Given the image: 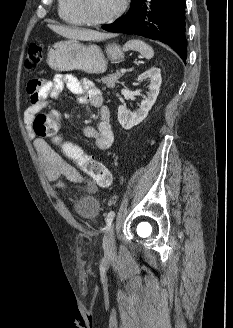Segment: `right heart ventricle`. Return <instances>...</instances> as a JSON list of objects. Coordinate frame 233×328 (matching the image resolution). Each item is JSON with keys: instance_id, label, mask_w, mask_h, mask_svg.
I'll return each mask as SVG.
<instances>
[{"instance_id": "obj_1", "label": "right heart ventricle", "mask_w": 233, "mask_h": 328, "mask_svg": "<svg viewBox=\"0 0 233 328\" xmlns=\"http://www.w3.org/2000/svg\"><path fill=\"white\" fill-rule=\"evenodd\" d=\"M58 14L59 17L68 24H86L82 15L76 7L75 0H58Z\"/></svg>"}]
</instances>
